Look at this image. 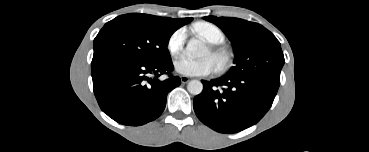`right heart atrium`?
I'll return each mask as SVG.
<instances>
[{"instance_id": "1", "label": "right heart atrium", "mask_w": 369, "mask_h": 152, "mask_svg": "<svg viewBox=\"0 0 369 152\" xmlns=\"http://www.w3.org/2000/svg\"><path fill=\"white\" fill-rule=\"evenodd\" d=\"M186 42V32L183 29H178L172 33L168 42L167 49L173 58L180 57L184 51Z\"/></svg>"}]
</instances>
